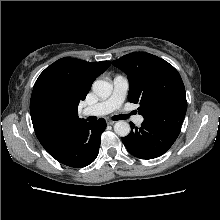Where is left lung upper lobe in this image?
Wrapping results in <instances>:
<instances>
[{
	"instance_id": "5c2ea615",
	"label": "left lung upper lobe",
	"mask_w": 220,
	"mask_h": 220,
	"mask_svg": "<svg viewBox=\"0 0 220 220\" xmlns=\"http://www.w3.org/2000/svg\"><path fill=\"white\" fill-rule=\"evenodd\" d=\"M112 64L128 77V99L139 104L144 118L173 116L184 119L187 110L185 87L178 71L167 61L146 53L124 55Z\"/></svg>"
}]
</instances>
